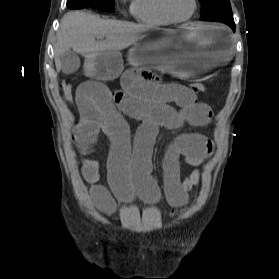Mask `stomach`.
<instances>
[{
    "instance_id": "obj_1",
    "label": "stomach",
    "mask_w": 279,
    "mask_h": 279,
    "mask_svg": "<svg viewBox=\"0 0 279 279\" xmlns=\"http://www.w3.org/2000/svg\"><path fill=\"white\" fill-rule=\"evenodd\" d=\"M220 29H227V24H186L177 29L158 25V30L135 43L125 63L154 67L155 75L180 78V82H210L217 77L214 72H223L237 55L232 35ZM78 69L76 75L85 82H113L123 70L122 54H85Z\"/></svg>"
}]
</instances>
